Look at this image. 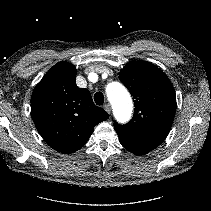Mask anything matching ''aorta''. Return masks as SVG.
I'll use <instances>...</instances> for the list:
<instances>
[{"mask_svg": "<svg viewBox=\"0 0 211 211\" xmlns=\"http://www.w3.org/2000/svg\"><path fill=\"white\" fill-rule=\"evenodd\" d=\"M107 94L113 100L118 115L122 120L129 119L132 112V101L127 90L117 82H113L107 87Z\"/></svg>", "mask_w": 211, "mask_h": 211, "instance_id": "1", "label": "aorta"}]
</instances>
